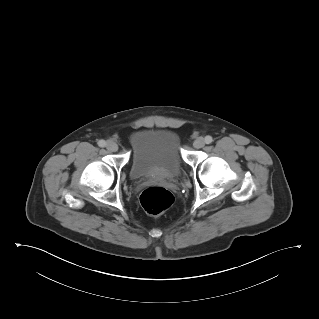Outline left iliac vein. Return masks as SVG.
<instances>
[{
	"label": "left iliac vein",
	"mask_w": 319,
	"mask_h": 319,
	"mask_svg": "<svg viewBox=\"0 0 319 319\" xmlns=\"http://www.w3.org/2000/svg\"><path fill=\"white\" fill-rule=\"evenodd\" d=\"M204 145H205V140L202 137H198L193 142V146L197 149L202 148Z\"/></svg>",
	"instance_id": "left-iliac-vein-1"
}]
</instances>
